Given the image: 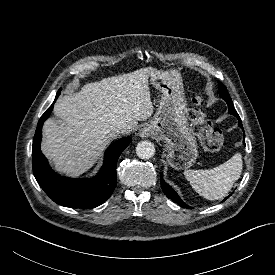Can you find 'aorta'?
<instances>
[{"instance_id": "obj_1", "label": "aorta", "mask_w": 275, "mask_h": 275, "mask_svg": "<svg viewBox=\"0 0 275 275\" xmlns=\"http://www.w3.org/2000/svg\"><path fill=\"white\" fill-rule=\"evenodd\" d=\"M136 154L141 159H149L154 156L155 147L150 141H141L136 146Z\"/></svg>"}]
</instances>
